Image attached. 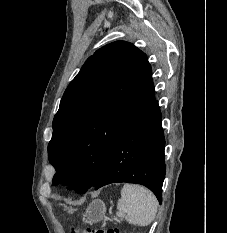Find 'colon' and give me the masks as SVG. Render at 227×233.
Wrapping results in <instances>:
<instances>
[{
    "label": "colon",
    "instance_id": "colon-1",
    "mask_svg": "<svg viewBox=\"0 0 227 233\" xmlns=\"http://www.w3.org/2000/svg\"><path fill=\"white\" fill-rule=\"evenodd\" d=\"M72 233H120L118 229H94V228H85L82 230H73Z\"/></svg>",
    "mask_w": 227,
    "mask_h": 233
}]
</instances>
